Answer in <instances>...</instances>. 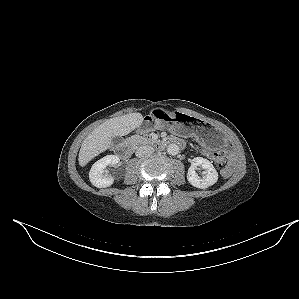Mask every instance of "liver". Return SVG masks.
I'll use <instances>...</instances> for the list:
<instances>
[{
    "instance_id": "obj_1",
    "label": "liver",
    "mask_w": 299,
    "mask_h": 299,
    "mask_svg": "<svg viewBox=\"0 0 299 299\" xmlns=\"http://www.w3.org/2000/svg\"><path fill=\"white\" fill-rule=\"evenodd\" d=\"M143 122L141 113H130L111 118L87 135L79 151V165L84 167L93 158L109 149L114 136H125L138 128Z\"/></svg>"
}]
</instances>
